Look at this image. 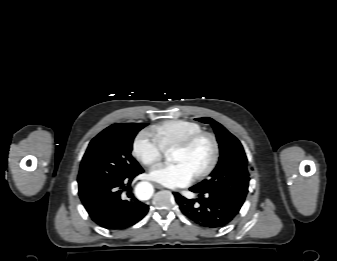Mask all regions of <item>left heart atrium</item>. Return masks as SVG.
Masks as SVG:
<instances>
[{
	"instance_id": "1",
	"label": "left heart atrium",
	"mask_w": 337,
	"mask_h": 261,
	"mask_svg": "<svg viewBox=\"0 0 337 261\" xmlns=\"http://www.w3.org/2000/svg\"><path fill=\"white\" fill-rule=\"evenodd\" d=\"M150 178L166 187H184L189 185L194 178L192 171L183 163L164 164L154 167Z\"/></svg>"
}]
</instances>
